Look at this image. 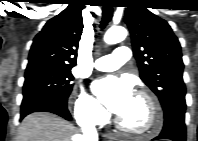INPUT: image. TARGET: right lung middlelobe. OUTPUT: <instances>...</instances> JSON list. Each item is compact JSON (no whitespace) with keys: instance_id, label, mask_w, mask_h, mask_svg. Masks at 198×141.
Instances as JSON below:
<instances>
[{"instance_id":"obj_1","label":"right lung middle lobe","mask_w":198,"mask_h":141,"mask_svg":"<svg viewBox=\"0 0 198 141\" xmlns=\"http://www.w3.org/2000/svg\"><path fill=\"white\" fill-rule=\"evenodd\" d=\"M73 75L68 69H39L25 73L23 96L46 95L67 102Z\"/></svg>"}]
</instances>
